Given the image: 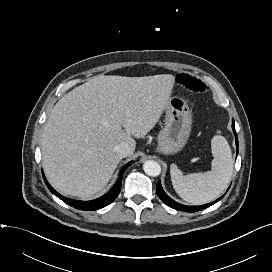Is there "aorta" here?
Listing matches in <instances>:
<instances>
[{
    "label": "aorta",
    "mask_w": 272,
    "mask_h": 272,
    "mask_svg": "<svg viewBox=\"0 0 272 272\" xmlns=\"http://www.w3.org/2000/svg\"><path fill=\"white\" fill-rule=\"evenodd\" d=\"M143 170L148 176L156 177L161 173V166L154 160H148L143 164Z\"/></svg>",
    "instance_id": "1"
}]
</instances>
